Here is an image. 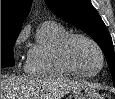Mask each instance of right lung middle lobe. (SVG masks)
Instances as JSON below:
<instances>
[{"instance_id": "1", "label": "right lung middle lobe", "mask_w": 115, "mask_h": 99, "mask_svg": "<svg viewBox=\"0 0 115 99\" xmlns=\"http://www.w3.org/2000/svg\"><path fill=\"white\" fill-rule=\"evenodd\" d=\"M18 34H1V68L14 65L13 46Z\"/></svg>"}]
</instances>
